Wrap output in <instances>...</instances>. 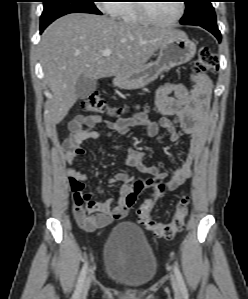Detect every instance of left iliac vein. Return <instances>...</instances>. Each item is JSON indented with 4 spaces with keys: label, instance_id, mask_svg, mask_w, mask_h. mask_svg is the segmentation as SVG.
I'll list each match as a JSON object with an SVG mask.
<instances>
[{
    "label": "left iliac vein",
    "instance_id": "4c4485c4",
    "mask_svg": "<svg viewBox=\"0 0 248 299\" xmlns=\"http://www.w3.org/2000/svg\"><path fill=\"white\" fill-rule=\"evenodd\" d=\"M172 288L177 295H180V287L174 276L171 277Z\"/></svg>",
    "mask_w": 248,
    "mask_h": 299
}]
</instances>
